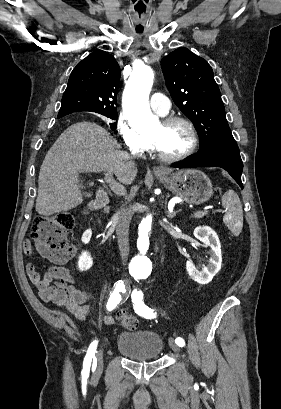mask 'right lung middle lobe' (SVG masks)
<instances>
[{
  "mask_svg": "<svg viewBox=\"0 0 281 409\" xmlns=\"http://www.w3.org/2000/svg\"><path fill=\"white\" fill-rule=\"evenodd\" d=\"M108 118H111L113 120H116L118 118V114L117 112H104V113H100Z\"/></svg>",
  "mask_w": 281,
  "mask_h": 409,
  "instance_id": "obj_1",
  "label": "right lung middle lobe"
}]
</instances>
